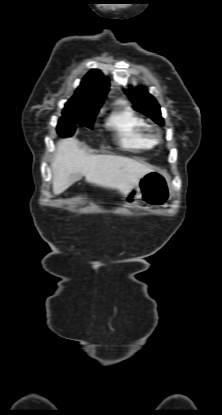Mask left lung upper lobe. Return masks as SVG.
<instances>
[{
  "mask_svg": "<svg viewBox=\"0 0 222 415\" xmlns=\"http://www.w3.org/2000/svg\"><path fill=\"white\" fill-rule=\"evenodd\" d=\"M125 93L133 102L136 110L147 115L159 125H164L163 118L161 117L160 106L156 99L148 93L144 87H137L133 89L125 90Z\"/></svg>",
  "mask_w": 222,
  "mask_h": 415,
  "instance_id": "5c2ea615",
  "label": "left lung upper lobe"
}]
</instances>
